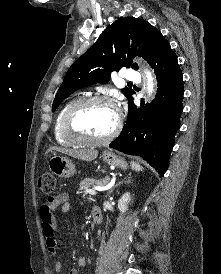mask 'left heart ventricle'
Here are the masks:
<instances>
[{"label":"left heart ventricle","instance_id":"left-heart-ventricle-1","mask_svg":"<svg viewBox=\"0 0 221 274\" xmlns=\"http://www.w3.org/2000/svg\"><path fill=\"white\" fill-rule=\"evenodd\" d=\"M116 121L115 110L105 104L90 105L81 110L75 119L77 129L91 138L107 135Z\"/></svg>","mask_w":221,"mask_h":274}]
</instances>
